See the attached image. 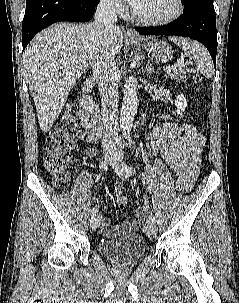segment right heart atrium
Listing matches in <instances>:
<instances>
[{"instance_id":"obj_1","label":"right heart atrium","mask_w":239,"mask_h":303,"mask_svg":"<svg viewBox=\"0 0 239 303\" xmlns=\"http://www.w3.org/2000/svg\"><path fill=\"white\" fill-rule=\"evenodd\" d=\"M101 4L108 10L122 14L125 11V6L121 0H100Z\"/></svg>"}]
</instances>
